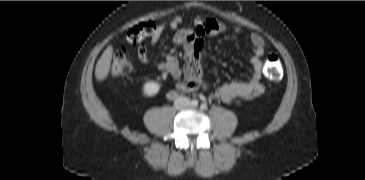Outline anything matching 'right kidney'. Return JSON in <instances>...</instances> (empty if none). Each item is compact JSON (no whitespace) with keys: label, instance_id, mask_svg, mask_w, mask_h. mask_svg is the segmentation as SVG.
Listing matches in <instances>:
<instances>
[{"label":"right kidney","instance_id":"ca27d5eb","mask_svg":"<svg viewBox=\"0 0 365 180\" xmlns=\"http://www.w3.org/2000/svg\"><path fill=\"white\" fill-rule=\"evenodd\" d=\"M161 88V84L155 81L145 82L142 87L143 95L146 97L155 96Z\"/></svg>","mask_w":365,"mask_h":180}]
</instances>
